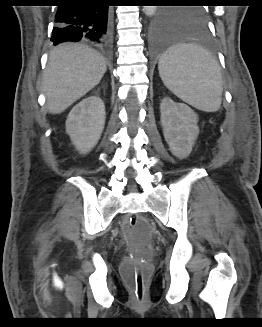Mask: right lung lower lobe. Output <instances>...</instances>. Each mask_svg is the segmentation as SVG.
Returning <instances> with one entry per match:
<instances>
[{"label": "right lung lower lobe", "mask_w": 262, "mask_h": 327, "mask_svg": "<svg viewBox=\"0 0 262 327\" xmlns=\"http://www.w3.org/2000/svg\"><path fill=\"white\" fill-rule=\"evenodd\" d=\"M55 16L51 42L85 41L100 49L110 47L112 19L102 0H63Z\"/></svg>", "instance_id": "right-lung-lower-lobe-1"}]
</instances>
